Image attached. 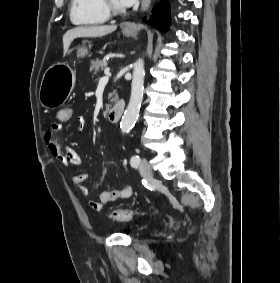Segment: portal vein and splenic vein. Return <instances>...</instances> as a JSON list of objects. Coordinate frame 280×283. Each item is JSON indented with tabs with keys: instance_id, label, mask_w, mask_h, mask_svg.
<instances>
[{
	"instance_id": "1",
	"label": "portal vein and splenic vein",
	"mask_w": 280,
	"mask_h": 283,
	"mask_svg": "<svg viewBox=\"0 0 280 283\" xmlns=\"http://www.w3.org/2000/svg\"><path fill=\"white\" fill-rule=\"evenodd\" d=\"M105 76H103L101 79H100V83H107L108 80H109V77L111 76V73H110V68H106L105 71Z\"/></svg>"
}]
</instances>
